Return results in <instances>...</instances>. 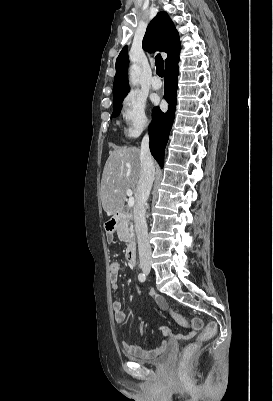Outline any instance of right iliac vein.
Returning a JSON list of instances; mask_svg holds the SVG:
<instances>
[{
    "label": "right iliac vein",
    "instance_id": "right-iliac-vein-1",
    "mask_svg": "<svg viewBox=\"0 0 273 401\" xmlns=\"http://www.w3.org/2000/svg\"><path fill=\"white\" fill-rule=\"evenodd\" d=\"M143 272L148 273L150 271V265L149 264H143L141 266Z\"/></svg>",
    "mask_w": 273,
    "mask_h": 401
}]
</instances>
